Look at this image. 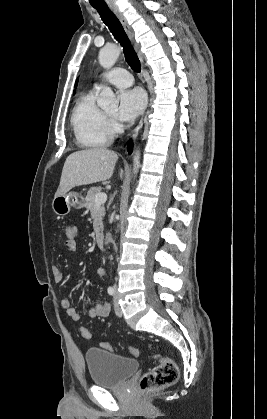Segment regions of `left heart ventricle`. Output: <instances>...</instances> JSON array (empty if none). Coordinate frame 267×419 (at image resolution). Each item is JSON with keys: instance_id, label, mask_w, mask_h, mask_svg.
<instances>
[{"instance_id": "b2bd125f", "label": "left heart ventricle", "mask_w": 267, "mask_h": 419, "mask_svg": "<svg viewBox=\"0 0 267 419\" xmlns=\"http://www.w3.org/2000/svg\"><path fill=\"white\" fill-rule=\"evenodd\" d=\"M114 112H115V111H110L109 113H110V114H113Z\"/></svg>"}]
</instances>
